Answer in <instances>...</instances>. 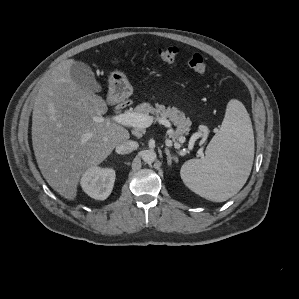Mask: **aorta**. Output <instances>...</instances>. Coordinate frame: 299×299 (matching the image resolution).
<instances>
[{
    "mask_svg": "<svg viewBox=\"0 0 299 299\" xmlns=\"http://www.w3.org/2000/svg\"><path fill=\"white\" fill-rule=\"evenodd\" d=\"M157 158L156 152L152 149L144 150L142 152V159L145 163L151 164Z\"/></svg>",
    "mask_w": 299,
    "mask_h": 299,
    "instance_id": "1",
    "label": "aorta"
}]
</instances>
